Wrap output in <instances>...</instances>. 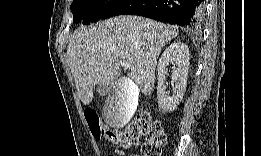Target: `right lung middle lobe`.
<instances>
[{
  "label": "right lung middle lobe",
  "mask_w": 261,
  "mask_h": 156,
  "mask_svg": "<svg viewBox=\"0 0 261 156\" xmlns=\"http://www.w3.org/2000/svg\"><path fill=\"white\" fill-rule=\"evenodd\" d=\"M119 3L120 0H75L71 5L73 22H83V24L95 22Z\"/></svg>",
  "instance_id": "dd1d6c3e"
}]
</instances>
